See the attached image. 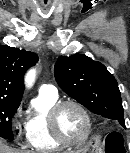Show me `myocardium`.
<instances>
[{
    "label": "myocardium",
    "mask_w": 130,
    "mask_h": 153,
    "mask_svg": "<svg viewBox=\"0 0 130 153\" xmlns=\"http://www.w3.org/2000/svg\"><path fill=\"white\" fill-rule=\"evenodd\" d=\"M69 105L76 107L82 113L85 120V125H86L84 134L82 135L80 139L76 141L65 138L62 135L58 125V116L60 111L62 110L63 107L69 106ZM48 127L52 137L60 145L66 146V147H77V146H81L85 144L88 138L90 137V134L92 131V121H91L89 112L87 111V109L85 108L83 104H81L80 102L76 100L67 99V100L58 101L51 107L48 113Z\"/></svg>",
    "instance_id": "myocardium-1"
}]
</instances>
